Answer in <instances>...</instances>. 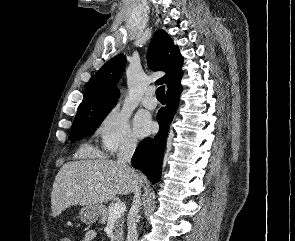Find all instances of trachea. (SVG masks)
<instances>
[{
  "mask_svg": "<svg viewBox=\"0 0 295 241\" xmlns=\"http://www.w3.org/2000/svg\"><path fill=\"white\" fill-rule=\"evenodd\" d=\"M156 97L158 100H165V86H160L157 88Z\"/></svg>",
  "mask_w": 295,
  "mask_h": 241,
  "instance_id": "3493384b",
  "label": "trachea"
}]
</instances>
